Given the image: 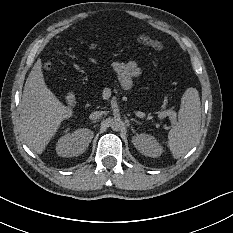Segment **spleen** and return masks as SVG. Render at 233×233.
I'll use <instances>...</instances> for the list:
<instances>
[{"instance_id":"1","label":"spleen","mask_w":233,"mask_h":233,"mask_svg":"<svg viewBox=\"0 0 233 233\" xmlns=\"http://www.w3.org/2000/svg\"><path fill=\"white\" fill-rule=\"evenodd\" d=\"M178 121L168 134L176 158L185 155L200 140L201 104L196 88L188 87L182 94Z\"/></svg>"}]
</instances>
